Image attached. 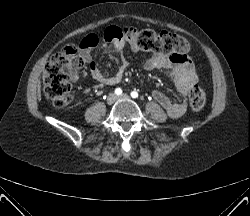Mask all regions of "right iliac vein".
<instances>
[{
  "label": "right iliac vein",
  "instance_id": "1",
  "mask_svg": "<svg viewBox=\"0 0 250 216\" xmlns=\"http://www.w3.org/2000/svg\"><path fill=\"white\" fill-rule=\"evenodd\" d=\"M116 99H117L116 95L111 93L107 97V103L111 105L116 101Z\"/></svg>",
  "mask_w": 250,
  "mask_h": 216
}]
</instances>
